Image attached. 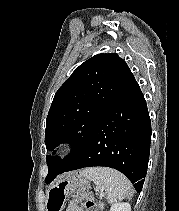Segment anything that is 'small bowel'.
Listing matches in <instances>:
<instances>
[{"mask_svg": "<svg viewBox=\"0 0 179 211\" xmlns=\"http://www.w3.org/2000/svg\"><path fill=\"white\" fill-rule=\"evenodd\" d=\"M87 192H80L77 194L74 201L70 202L67 207L65 208V211H84L83 208L80 206V202L87 197ZM99 211H101L99 209Z\"/></svg>", "mask_w": 179, "mask_h": 211, "instance_id": "c3829d8e", "label": "small bowel"}]
</instances>
